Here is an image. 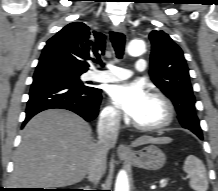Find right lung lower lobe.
I'll return each mask as SVG.
<instances>
[{
    "mask_svg": "<svg viewBox=\"0 0 218 191\" xmlns=\"http://www.w3.org/2000/svg\"><path fill=\"white\" fill-rule=\"evenodd\" d=\"M29 95L23 125L37 113L53 108L73 111L91 121L98 115L102 98L100 89L76 86L54 69L35 71Z\"/></svg>",
    "mask_w": 218,
    "mask_h": 191,
    "instance_id": "1",
    "label": "right lung lower lobe"
}]
</instances>
